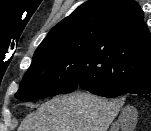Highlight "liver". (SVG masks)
<instances>
[{"instance_id":"1","label":"liver","mask_w":151,"mask_h":131,"mask_svg":"<svg viewBox=\"0 0 151 131\" xmlns=\"http://www.w3.org/2000/svg\"><path fill=\"white\" fill-rule=\"evenodd\" d=\"M121 104L89 93L57 96L21 122L18 131H107Z\"/></svg>"}]
</instances>
